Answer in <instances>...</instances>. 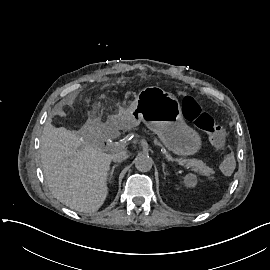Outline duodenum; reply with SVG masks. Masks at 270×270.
<instances>
[{
    "label": "duodenum",
    "instance_id": "obj_1",
    "mask_svg": "<svg viewBox=\"0 0 270 270\" xmlns=\"http://www.w3.org/2000/svg\"><path fill=\"white\" fill-rule=\"evenodd\" d=\"M119 127L120 122L118 120H112L104 130V140L107 141L113 139L116 136Z\"/></svg>",
    "mask_w": 270,
    "mask_h": 270
}]
</instances>
